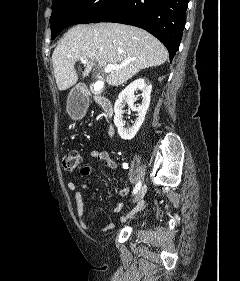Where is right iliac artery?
Segmentation results:
<instances>
[{"instance_id": "obj_1", "label": "right iliac artery", "mask_w": 240, "mask_h": 281, "mask_svg": "<svg viewBox=\"0 0 240 281\" xmlns=\"http://www.w3.org/2000/svg\"><path fill=\"white\" fill-rule=\"evenodd\" d=\"M140 187H141V182L139 181L133 189V195L140 190Z\"/></svg>"}]
</instances>
